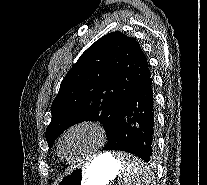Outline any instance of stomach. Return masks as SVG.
<instances>
[{
	"label": "stomach",
	"mask_w": 207,
	"mask_h": 185,
	"mask_svg": "<svg viewBox=\"0 0 207 185\" xmlns=\"http://www.w3.org/2000/svg\"><path fill=\"white\" fill-rule=\"evenodd\" d=\"M120 170L121 164L117 157L107 152L71 170L58 180L57 185H108L119 175Z\"/></svg>",
	"instance_id": "0dacf381"
}]
</instances>
